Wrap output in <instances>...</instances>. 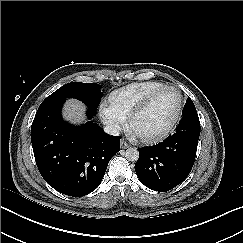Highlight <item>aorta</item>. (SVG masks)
<instances>
[{
    "mask_svg": "<svg viewBox=\"0 0 243 243\" xmlns=\"http://www.w3.org/2000/svg\"><path fill=\"white\" fill-rule=\"evenodd\" d=\"M125 156L129 161H137L139 159V151L137 148L130 147L126 150Z\"/></svg>",
    "mask_w": 243,
    "mask_h": 243,
    "instance_id": "762f6f07",
    "label": "aorta"
}]
</instances>
